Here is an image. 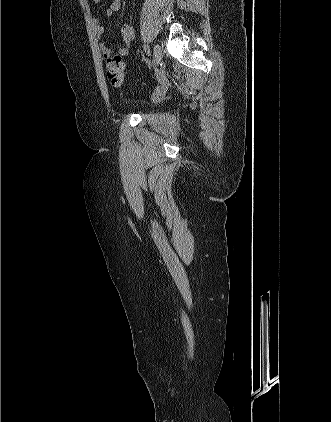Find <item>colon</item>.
<instances>
[{
    "label": "colon",
    "instance_id": "1",
    "mask_svg": "<svg viewBox=\"0 0 331 422\" xmlns=\"http://www.w3.org/2000/svg\"><path fill=\"white\" fill-rule=\"evenodd\" d=\"M106 75L112 86L120 87L125 79V65L120 57H114L106 63ZM163 89L158 87L154 93L155 99H160Z\"/></svg>",
    "mask_w": 331,
    "mask_h": 422
}]
</instances>
